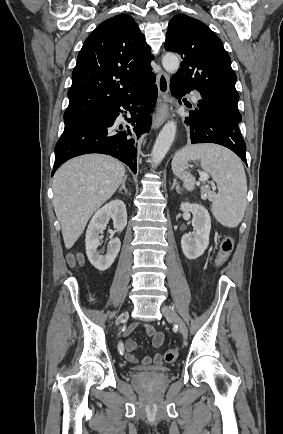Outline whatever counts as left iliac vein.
I'll list each match as a JSON object with an SVG mask.
<instances>
[{
	"label": "left iliac vein",
	"mask_w": 283,
	"mask_h": 434,
	"mask_svg": "<svg viewBox=\"0 0 283 434\" xmlns=\"http://www.w3.org/2000/svg\"><path fill=\"white\" fill-rule=\"evenodd\" d=\"M161 311L168 320L173 321L178 326L181 335L186 339L188 336V329L181 317L171 307L166 305L162 306Z\"/></svg>",
	"instance_id": "4c4485c4"
}]
</instances>
